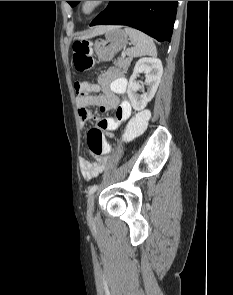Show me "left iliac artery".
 <instances>
[{"label":"left iliac artery","instance_id":"left-iliac-artery-1","mask_svg":"<svg viewBox=\"0 0 233 295\" xmlns=\"http://www.w3.org/2000/svg\"><path fill=\"white\" fill-rule=\"evenodd\" d=\"M98 188V185H93L89 188V195L93 194Z\"/></svg>","mask_w":233,"mask_h":295}]
</instances>
